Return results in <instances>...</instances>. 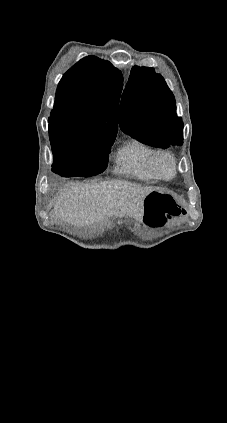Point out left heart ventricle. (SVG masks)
<instances>
[{
	"instance_id": "obj_1",
	"label": "left heart ventricle",
	"mask_w": 227,
	"mask_h": 423,
	"mask_svg": "<svg viewBox=\"0 0 227 423\" xmlns=\"http://www.w3.org/2000/svg\"><path fill=\"white\" fill-rule=\"evenodd\" d=\"M162 165L165 167V169L168 171L169 169V162L167 159L163 158L162 159Z\"/></svg>"
}]
</instances>
